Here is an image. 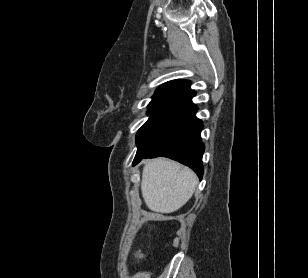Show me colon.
<instances>
[{
    "label": "colon",
    "instance_id": "colon-1",
    "mask_svg": "<svg viewBox=\"0 0 308 278\" xmlns=\"http://www.w3.org/2000/svg\"><path fill=\"white\" fill-rule=\"evenodd\" d=\"M136 258H140L142 255L141 253L138 251L136 254H135Z\"/></svg>",
    "mask_w": 308,
    "mask_h": 278
}]
</instances>
